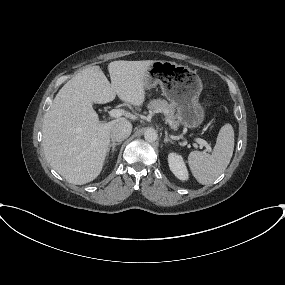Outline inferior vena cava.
I'll use <instances>...</instances> for the list:
<instances>
[{
	"mask_svg": "<svg viewBox=\"0 0 285 285\" xmlns=\"http://www.w3.org/2000/svg\"><path fill=\"white\" fill-rule=\"evenodd\" d=\"M132 131V124L123 120L116 123L110 131V136L113 141L121 142L129 137Z\"/></svg>",
	"mask_w": 285,
	"mask_h": 285,
	"instance_id": "inferior-vena-cava-1",
	"label": "inferior vena cava"
}]
</instances>
